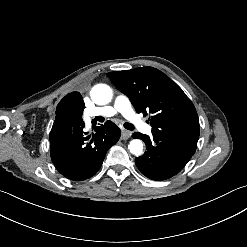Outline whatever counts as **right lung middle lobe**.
Instances as JSON below:
<instances>
[{"label": "right lung middle lobe", "instance_id": "obj_1", "mask_svg": "<svg viewBox=\"0 0 247 247\" xmlns=\"http://www.w3.org/2000/svg\"><path fill=\"white\" fill-rule=\"evenodd\" d=\"M61 101L64 102L66 107L76 109V115L73 120L67 122V125H72L75 123H82V113L85 108L84 101L79 92H72L66 95Z\"/></svg>", "mask_w": 247, "mask_h": 247}]
</instances>
